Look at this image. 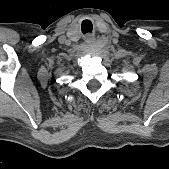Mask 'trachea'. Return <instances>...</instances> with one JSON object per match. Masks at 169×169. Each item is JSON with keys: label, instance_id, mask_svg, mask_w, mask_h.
Instances as JSON below:
<instances>
[{"label": "trachea", "instance_id": "obj_1", "mask_svg": "<svg viewBox=\"0 0 169 169\" xmlns=\"http://www.w3.org/2000/svg\"><path fill=\"white\" fill-rule=\"evenodd\" d=\"M82 33L86 34V33H91L92 32V23L89 20H84L82 22Z\"/></svg>", "mask_w": 169, "mask_h": 169}]
</instances>
